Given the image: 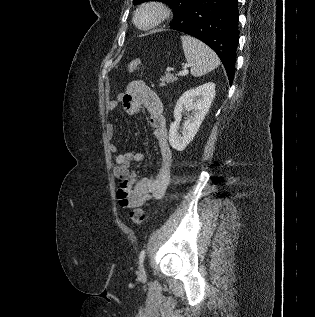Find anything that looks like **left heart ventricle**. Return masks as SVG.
Returning <instances> with one entry per match:
<instances>
[{"label": "left heart ventricle", "mask_w": 315, "mask_h": 317, "mask_svg": "<svg viewBox=\"0 0 315 317\" xmlns=\"http://www.w3.org/2000/svg\"><path fill=\"white\" fill-rule=\"evenodd\" d=\"M149 18H150V15H149V14H144V15L142 16V19H143L144 21H147Z\"/></svg>", "instance_id": "obj_1"}]
</instances>
